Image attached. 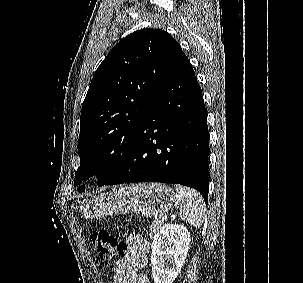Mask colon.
Here are the masks:
<instances>
[{"mask_svg":"<svg viewBox=\"0 0 303 283\" xmlns=\"http://www.w3.org/2000/svg\"><path fill=\"white\" fill-rule=\"evenodd\" d=\"M94 243L99 257L104 261H111L125 248L123 241L110 231L98 229L92 233Z\"/></svg>","mask_w":303,"mask_h":283,"instance_id":"1","label":"colon"}]
</instances>
